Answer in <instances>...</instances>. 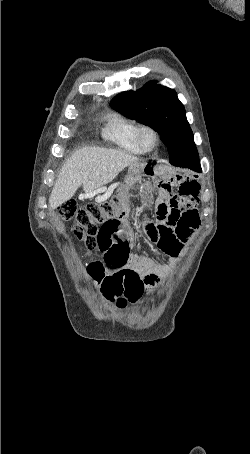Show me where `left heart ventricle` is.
<instances>
[{
  "instance_id": "obj_1",
  "label": "left heart ventricle",
  "mask_w": 250,
  "mask_h": 454,
  "mask_svg": "<svg viewBox=\"0 0 250 454\" xmlns=\"http://www.w3.org/2000/svg\"><path fill=\"white\" fill-rule=\"evenodd\" d=\"M144 142L147 146H151L153 144V137L150 133H145Z\"/></svg>"
}]
</instances>
